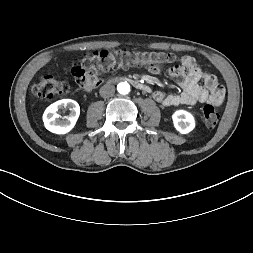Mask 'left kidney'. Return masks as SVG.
I'll list each match as a JSON object with an SVG mask.
<instances>
[{"instance_id": "obj_1", "label": "left kidney", "mask_w": 253, "mask_h": 253, "mask_svg": "<svg viewBox=\"0 0 253 253\" xmlns=\"http://www.w3.org/2000/svg\"><path fill=\"white\" fill-rule=\"evenodd\" d=\"M174 127L182 134H187L195 128L194 116L185 110H177L172 116Z\"/></svg>"}]
</instances>
